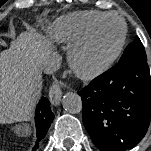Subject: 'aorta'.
I'll use <instances>...</instances> for the list:
<instances>
[{"mask_svg":"<svg viewBox=\"0 0 151 151\" xmlns=\"http://www.w3.org/2000/svg\"><path fill=\"white\" fill-rule=\"evenodd\" d=\"M63 108L71 114H75L82 109L81 97L73 92H67L62 98Z\"/></svg>","mask_w":151,"mask_h":151,"instance_id":"aorta-1","label":"aorta"}]
</instances>
